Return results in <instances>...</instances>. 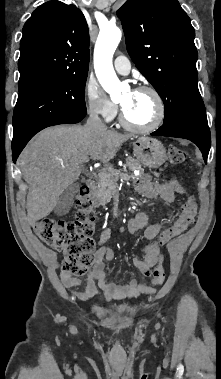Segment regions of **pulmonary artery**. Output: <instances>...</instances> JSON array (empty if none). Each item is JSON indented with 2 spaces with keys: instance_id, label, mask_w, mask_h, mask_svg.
<instances>
[{
  "instance_id": "pulmonary-artery-1",
  "label": "pulmonary artery",
  "mask_w": 221,
  "mask_h": 379,
  "mask_svg": "<svg viewBox=\"0 0 221 379\" xmlns=\"http://www.w3.org/2000/svg\"><path fill=\"white\" fill-rule=\"evenodd\" d=\"M115 70L122 75H127L130 72L131 64L126 56L120 55L114 61Z\"/></svg>"
}]
</instances>
